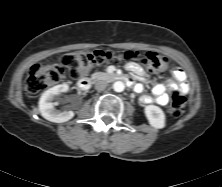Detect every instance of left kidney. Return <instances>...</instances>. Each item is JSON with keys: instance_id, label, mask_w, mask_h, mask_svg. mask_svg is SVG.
Returning <instances> with one entry per match:
<instances>
[{"instance_id": "left-kidney-1", "label": "left kidney", "mask_w": 222, "mask_h": 187, "mask_svg": "<svg viewBox=\"0 0 222 187\" xmlns=\"http://www.w3.org/2000/svg\"><path fill=\"white\" fill-rule=\"evenodd\" d=\"M145 115L152 127L157 129L165 127V114L160 107L147 105L145 107Z\"/></svg>"}]
</instances>
